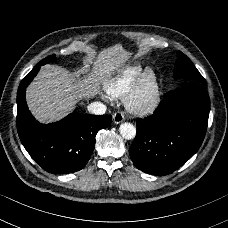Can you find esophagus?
Listing matches in <instances>:
<instances>
[{"mask_svg": "<svg viewBox=\"0 0 228 228\" xmlns=\"http://www.w3.org/2000/svg\"><path fill=\"white\" fill-rule=\"evenodd\" d=\"M124 120V115L122 112H116L113 114L114 124H120Z\"/></svg>", "mask_w": 228, "mask_h": 228, "instance_id": "obj_1", "label": "esophagus"}]
</instances>
